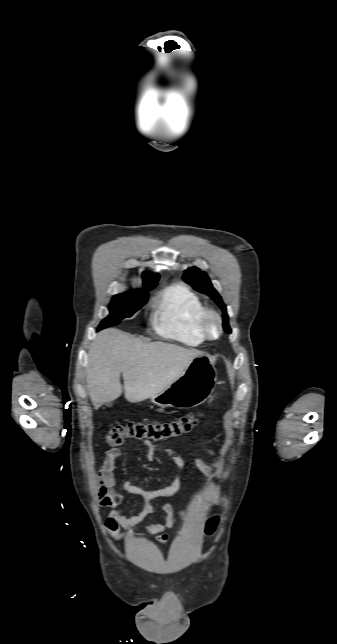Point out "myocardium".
<instances>
[{"mask_svg": "<svg viewBox=\"0 0 337 644\" xmlns=\"http://www.w3.org/2000/svg\"><path fill=\"white\" fill-rule=\"evenodd\" d=\"M199 328L205 339H218L222 333L221 316L213 309H205L199 321Z\"/></svg>", "mask_w": 337, "mask_h": 644, "instance_id": "f54148a6", "label": "myocardium"}]
</instances>
